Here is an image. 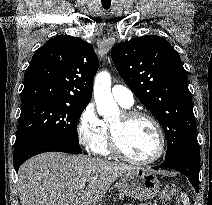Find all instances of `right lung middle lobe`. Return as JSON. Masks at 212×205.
Masks as SVG:
<instances>
[{"label": "right lung middle lobe", "mask_w": 212, "mask_h": 205, "mask_svg": "<svg viewBox=\"0 0 212 205\" xmlns=\"http://www.w3.org/2000/svg\"><path fill=\"white\" fill-rule=\"evenodd\" d=\"M87 105L48 99L22 101L14 146L40 137L58 138L79 145L77 124Z\"/></svg>", "instance_id": "right-lung-middle-lobe-1"}]
</instances>
